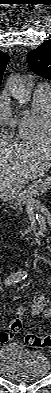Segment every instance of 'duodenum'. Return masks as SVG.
Listing matches in <instances>:
<instances>
[{"label":"duodenum","instance_id":"duodenum-1","mask_svg":"<svg viewBox=\"0 0 51 393\" xmlns=\"http://www.w3.org/2000/svg\"><path fill=\"white\" fill-rule=\"evenodd\" d=\"M9 198H10V196H9L8 193H6V192H3V193H2V199H3V200H8Z\"/></svg>","mask_w":51,"mask_h":393}]
</instances>
